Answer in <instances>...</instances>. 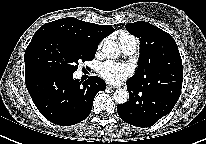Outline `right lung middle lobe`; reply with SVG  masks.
I'll list each match as a JSON object with an SVG mask.
<instances>
[{"mask_svg": "<svg viewBox=\"0 0 206 144\" xmlns=\"http://www.w3.org/2000/svg\"><path fill=\"white\" fill-rule=\"evenodd\" d=\"M95 48L53 35L32 38L25 51V73L47 70L73 74L80 61H91Z\"/></svg>", "mask_w": 206, "mask_h": 144, "instance_id": "right-lung-middle-lobe-1", "label": "right lung middle lobe"}]
</instances>
